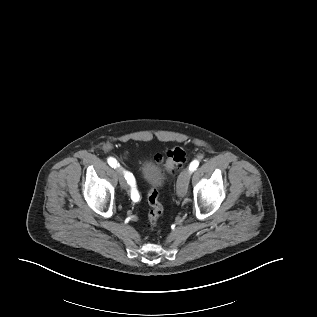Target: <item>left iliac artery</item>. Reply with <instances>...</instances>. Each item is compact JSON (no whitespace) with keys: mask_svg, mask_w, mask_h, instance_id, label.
I'll return each instance as SVG.
<instances>
[{"mask_svg":"<svg viewBox=\"0 0 317 317\" xmlns=\"http://www.w3.org/2000/svg\"><path fill=\"white\" fill-rule=\"evenodd\" d=\"M199 166V161L198 160H193L190 165H189V170L193 172L196 170V168Z\"/></svg>","mask_w":317,"mask_h":317,"instance_id":"1","label":"left iliac artery"}]
</instances>
